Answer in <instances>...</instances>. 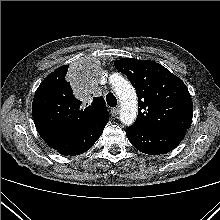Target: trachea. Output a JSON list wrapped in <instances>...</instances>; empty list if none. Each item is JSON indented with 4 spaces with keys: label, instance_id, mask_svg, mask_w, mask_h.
Listing matches in <instances>:
<instances>
[{
    "label": "trachea",
    "instance_id": "obj_1",
    "mask_svg": "<svg viewBox=\"0 0 220 220\" xmlns=\"http://www.w3.org/2000/svg\"><path fill=\"white\" fill-rule=\"evenodd\" d=\"M106 101H107V104L110 107H115L117 105V99H116V97L114 96L113 93H108L107 94Z\"/></svg>",
    "mask_w": 220,
    "mask_h": 220
}]
</instances>
